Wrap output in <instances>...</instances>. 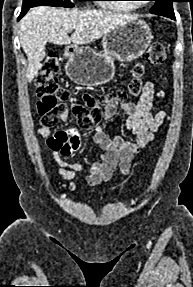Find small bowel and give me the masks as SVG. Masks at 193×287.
I'll use <instances>...</instances> for the list:
<instances>
[{
  "label": "small bowel",
  "instance_id": "c3829d8e",
  "mask_svg": "<svg viewBox=\"0 0 193 287\" xmlns=\"http://www.w3.org/2000/svg\"><path fill=\"white\" fill-rule=\"evenodd\" d=\"M164 98L165 94L162 91H156L154 84L147 81L143 93L136 103L125 102L117 98L107 103L104 107L103 118L110 119L120 110L126 116V129L136 136V141L126 140L120 136H111L101 126H94L91 141L102 150V154L88 168L81 163L67 160L68 156H72V152L74 156L82 155V150H79V147L80 142L84 141V136H80V133L84 132V127H75V132H67L65 126L57 127V132H53L51 128H39L38 135L48 137L47 147L54 152L53 156L58 165L59 177L62 181H70L64 186L73 190L77 189L79 183L73 179L77 172L84 170H87V175L82 184L87 186H95L109 181L117 168L121 176L128 175L135 157L154 139L156 132L167 119L164 111L157 113L153 111L155 100ZM69 115V111H63L60 120L66 122Z\"/></svg>",
  "mask_w": 193,
  "mask_h": 287
}]
</instances>
